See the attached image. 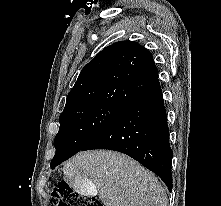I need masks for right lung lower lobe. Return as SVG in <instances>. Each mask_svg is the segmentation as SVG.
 Masks as SVG:
<instances>
[{
    "mask_svg": "<svg viewBox=\"0 0 221 206\" xmlns=\"http://www.w3.org/2000/svg\"><path fill=\"white\" fill-rule=\"evenodd\" d=\"M91 149H109L129 155L158 175L171 192L172 150L160 85L127 105L82 151Z\"/></svg>",
    "mask_w": 221,
    "mask_h": 206,
    "instance_id": "obj_1",
    "label": "right lung lower lobe"
}]
</instances>
